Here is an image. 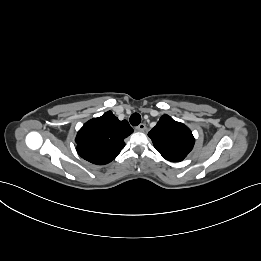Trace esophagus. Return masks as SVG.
Returning a JSON list of instances; mask_svg holds the SVG:
<instances>
[{"mask_svg":"<svg viewBox=\"0 0 261 261\" xmlns=\"http://www.w3.org/2000/svg\"><path fill=\"white\" fill-rule=\"evenodd\" d=\"M136 130L137 131H140V132H144L146 130V125L144 123H141L139 124L137 127H136Z\"/></svg>","mask_w":261,"mask_h":261,"instance_id":"esophagus-1","label":"esophagus"}]
</instances>
